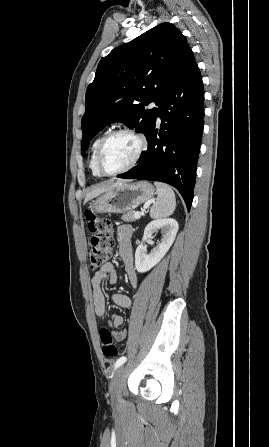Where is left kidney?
<instances>
[{"label":"left kidney","instance_id":"left-kidney-1","mask_svg":"<svg viewBox=\"0 0 269 447\" xmlns=\"http://www.w3.org/2000/svg\"><path fill=\"white\" fill-rule=\"evenodd\" d=\"M161 229L162 237L161 241L157 243L156 247L151 249L150 253H146V247L143 245V241H147L149 237H153V233ZM178 231V222L173 218H167V220H154L150 224L146 225L144 229V235L141 243L136 247L135 251V267L140 273L148 271L151 267H154L165 253H167L169 247H171L176 233Z\"/></svg>","mask_w":269,"mask_h":447}]
</instances>
